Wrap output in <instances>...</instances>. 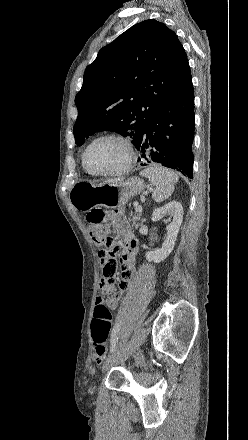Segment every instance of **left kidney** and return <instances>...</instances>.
<instances>
[{"instance_id": "5707ae66", "label": "left kidney", "mask_w": 248, "mask_h": 440, "mask_svg": "<svg viewBox=\"0 0 248 440\" xmlns=\"http://www.w3.org/2000/svg\"><path fill=\"white\" fill-rule=\"evenodd\" d=\"M167 215L172 217L171 223L166 226L167 238L164 241L162 248L146 252L145 256L148 261L159 263L165 260L174 249L177 234L183 220V207L181 203L178 201H171L165 206L155 209L152 214V220L159 221Z\"/></svg>"}]
</instances>
